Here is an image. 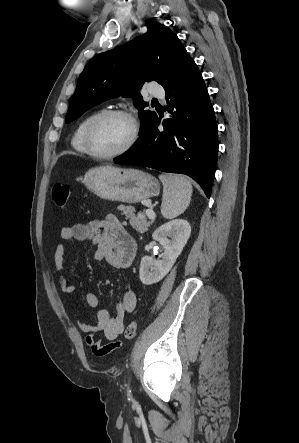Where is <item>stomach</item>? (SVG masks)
Segmentation results:
<instances>
[{
    "label": "stomach",
    "instance_id": "obj_1",
    "mask_svg": "<svg viewBox=\"0 0 299 443\" xmlns=\"http://www.w3.org/2000/svg\"><path fill=\"white\" fill-rule=\"evenodd\" d=\"M84 183L100 198L127 203H137L160 191L159 182L150 174L111 165L90 169L85 174Z\"/></svg>",
    "mask_w": 299,
    "mask_h": 443
}]
</instances>
